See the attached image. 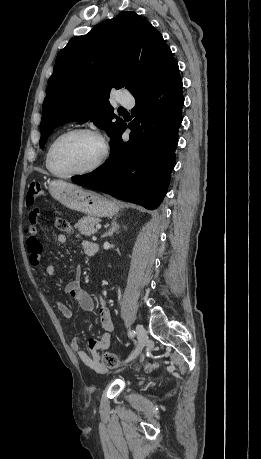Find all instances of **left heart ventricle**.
Wrapping results in <instances>:
<instances>
[{
    "label": "left heart ventricle",
    "instance_id": "left-heart-ventricle-1",
    "mask_svg": "<svg viewBox=\"0 0 261 459\" xmlns=\"http://www.w3.org/2000/svg\"><path fill=\"white\" fill-rule=\"evenodd\" d=\"M99 142L84 134L70 135L54 148L51 165L59 173H70L90 166L99 156Z\"/></svg>",
    "mask_w": 261,
    "mask_h": 459
}]
</instances>
